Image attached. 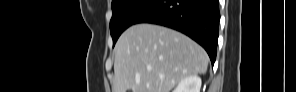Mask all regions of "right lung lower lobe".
Here are the masks:
<instances>
[{
	"label": "right lung lower lobe",
	"instance_id": "obj_1",
	"mask_svg": "<svg viewBox=\"0 0 296 92\" xmlns=\"http://www.w3.org/2000/svg\"><path fill=\"white\" fill-rule=\"evenodd\" d=\"M220 12L218 0H156L133 24L153 23L178 30L216 59Z\"/></svg>",
	"mask_w": 296,
	"mask_h": 92
}]
</instances>
